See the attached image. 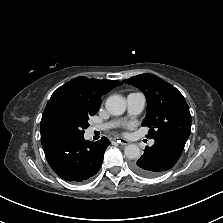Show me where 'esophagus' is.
Returning a JSON list of instances; mask_svg holds the SVG:
<instances>
[{"mask_svg":"<svg viewBox=\"0 0 223 223\" xmlns=\"http://www.w3.org/2000/svg\"><path fill=\"white\" fill-rule=\"evenodd\" d=\"M114 140H115L117 143H119V144H121V145H123V146L129 144V141H128V140H126V139H124V138H121V137H115Z\"/></svg>","mask_w":223,"mask_h":223,"instance_id":"34e87169","label":"esophagus"}]
</instances>
